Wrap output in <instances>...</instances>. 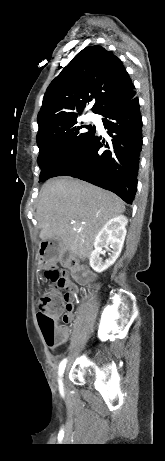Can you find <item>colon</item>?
<instances>
[{
	"label": "colon",
	"mask_w": 165,
	"mask_h": 461,
	"mask_svg": "<svg viewBox=\"0 0 165 461\" xmlns=\"http://www.w3.org/2000/svg\"><path fill=\"white\" fill-rule=\"evenodd\" d=\"M56 259L55 244L50 241L42 243L40 265L46 278L52 282L53 286L39 300L37 319L44 340L51 347L57 345L60 340L56 318L61 316V313H68L70 310L63 306L61 293L68 288V282L63 279L62 271L57 266Z\"/></svg>",
	"instance_id": "obj_1"
}]
</instances>
